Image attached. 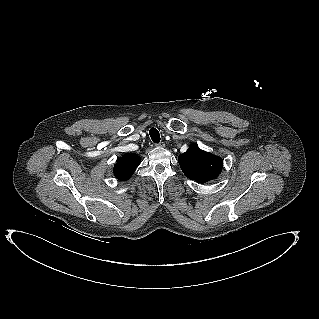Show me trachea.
<instances>
[{
	"instance_id": "3493384b",
	"label": "trachea",
	"mask_w": 319,
	"mask_h": 319,
	"mask_svg": "<svg viewBox=\"0 0 319 319\" xmlns=\"http://www.w3.org/2000/svg\"><path fill=\"white\" fill-rule=\"evenodd\" d=\"M149 134H150V137H151V139H152V141L154 143H159L160 142V140H161L160 134H159V131L156 128L152 127L149 130Z\"/></svg>"
}]
</instances>
